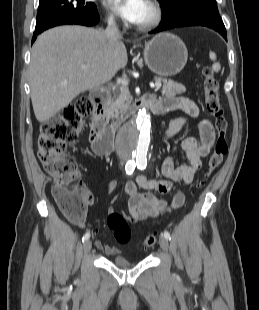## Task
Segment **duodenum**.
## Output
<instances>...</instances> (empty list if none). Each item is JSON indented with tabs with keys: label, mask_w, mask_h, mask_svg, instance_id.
I'll use <instances>...</instances> for the list:
<instances>
[{
	"label": "duodenum",
	"mask_w": 259,
	"mask_h": 310,
	"mask_svg": "<svg viewBox=\"0 0 259 310\" xmlns=\"http://www.w3.org/2000/svg\"><path fill=\"white\" fill-rule=\"evenodd\" d=\"M108 97V89H96L91 94L93 115L90 139L93 151L99 155L110 153L114 146L113 132L109 126L107 112ZM143 109H148L155 114L165 112L157 98L150 95L137 99L133 105L134 113H138Z\"/></svg>",
	"instance_id": "410a0bca"
}]
</instances>
